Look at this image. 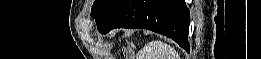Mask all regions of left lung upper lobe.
<instances>
[{"mask_svg":"<svg viewBox=\"0 0 261 59\" xmlns=\"http://www.w3.org/2000/svg\"><path fill=\"white\" fill-rule=\"evenodd\" d=\"M120 0H95L91 16L99 23Z\"/></svg>","mask_w":261,"mask_h":59,"instance_id":"5c2ea615","label":"left lung upper lobe"}]
</instances>
